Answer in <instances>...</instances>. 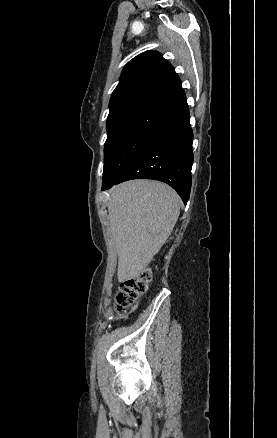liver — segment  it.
Returning <instances> with one entry per match:
<instances>
[{"mask_svg": "<svg viewBox=\"0 0 277 438\" xmlns=\"http://www.w3.org/2000/svg\"><path fill=\"white\" fill-rule=\"evenodd\" d=\"M108 214L118 254V282L135 280L169 238L180 214V198L154 180H131L110 190Z\"/></svg>", "mask_w": 277, "mask_h": 438, "instance_id": "obj_1", "label": "liver"}]
</instances>
